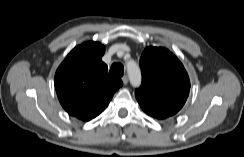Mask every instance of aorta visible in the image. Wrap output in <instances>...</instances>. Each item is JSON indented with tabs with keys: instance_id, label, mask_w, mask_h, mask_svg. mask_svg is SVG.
<instances>
[{
	"instance_id": "aorta-1",
	"label": "aorta",
	"mask_w": 244,
	"mask_h": 157,
	"mask_svg": "<svg viewBox=\"0 0 244 157\" xmlns=\"http://www.w3.org/2000/svg\"><path fill=\"white\" fill-rule=\"evenodd\" d=\"M127 72L131 84L137 87L141 84V73L137 66L127 65Z\"/></svg>"
}]
</instances>
